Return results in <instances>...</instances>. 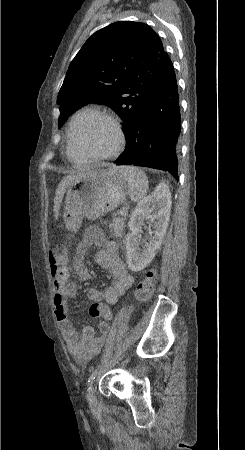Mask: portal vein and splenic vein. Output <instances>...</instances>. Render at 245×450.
I'll return each instance as SVG.
<instances>
[{"instance_id": "18ae733b", "label": "portal vein and splenic vein", "mask_w": 245, "mask_h": 450, "mask_svg": "<svg viewBox=\"0 0 245 450\" xmlns=\"http://www.w3.org/2000/svg\"><path fill=\"white\" fill-rule=\"evenodd\" d=\"M119 214L122 216H127V213L125 211H120Z\"/></svg>"}]
</instances>
